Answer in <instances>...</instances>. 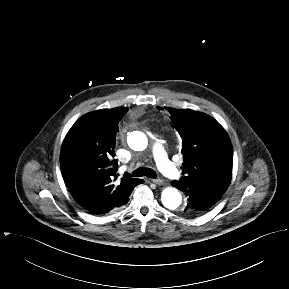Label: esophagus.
Segmentation results:
<instances>
[{
    "label": "esophagus",
    "mask_w": 289,
    "mask_h": 289,
    "mask_svg": "<svg viewBox=\"0 0 289 289\" xmlns=\"http://www.w3.org/2000/svg\"><path fill=\"white\" fill-rule=\"evenodd\" d=\"M151 181L157 185H163L164 184V181L160 178H157V179H151Z\"/></svg>",
    "instance_id": "1"
}]
</instances>
